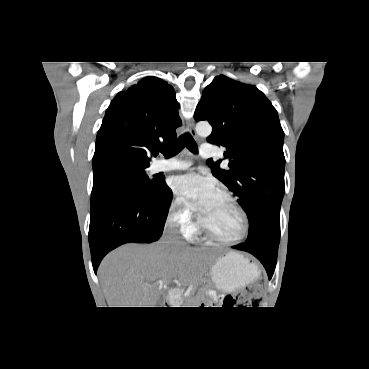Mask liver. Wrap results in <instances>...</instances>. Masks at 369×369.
I'll return each instance as SVG.
<instances>
[{"instance_id": "obj_1", "label": "liver", "mask_w": 369, "mask_h": 369, "mask_svg": "<svg viewBox=\"0 0 369 369\" xmlns=\"http://www.w3.org/2000/svg\"><path fill=\"white\" fill-rule=\"evenodd\" d=\"M211 261L205 250L162 239L150 245L126 244L101 262L98 277L109 307H155L159 282L196 283Z\"/></svg>"}]
</instances>
